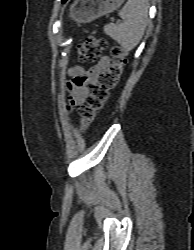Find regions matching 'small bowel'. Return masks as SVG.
<instances>
[{
	"label": "small bowel",
	"mask_w": 194,
	"mask_h": 250,
	"mask_svg": "<svg viewBox=\"0 0 194 250\" xmlns=\"http://www.w3.org/2000/svg\"><path fill=\"white\" fill-rule=\"evenodd\" d=\"M110 64L108 57L101 58L90 69L84 71L80 67L71 69L72 80L68 82L69 102L71 105H79L84 103L88 95V85L95 83L100 73Z\"/></svg>",
	"instance_id": "c3829d8e"
}]
</instances>
